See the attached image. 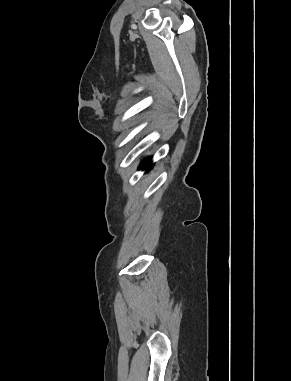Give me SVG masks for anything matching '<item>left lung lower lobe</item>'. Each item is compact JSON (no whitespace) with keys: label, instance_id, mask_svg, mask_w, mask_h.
Returning a JSON list of instances; mask_svg holds the SVG:
<instances>
[{"label":"left lung lower lobe","instance_id":"1","mask_svg":"<svg viewBox=\"0 0 291 381\" xmlns=\"http://www.w3.org/2000/svg\"><path fill=\"white\" fill-rule=\"evenodd\" d=\"M150 158L146 159L139 167V169H150L152 166L150 165Z\"/></svg>","mask_w":291,"mask_h":381}]
</instances>
